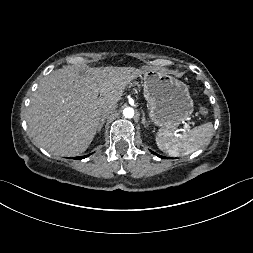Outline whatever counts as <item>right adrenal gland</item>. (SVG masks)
I'll return each mask as SVG.
<instances>
[{
    "label": "right adrenal gland",
    "instance_id": "1",
    "mask_svg": "<svg viewBox=\"0 0 253 253\" xmlns=\"http://www.w3.org/2000/svg\"><path fill=\"white\" fill-rule=\"evenodd\" d=\"M108 116L102 117L101 121H100V125L98 127V132H100L101 128L103 127L105 120L107 119Z\"/></svg>",
    "mask_w": 253,
    "mask_h": 253
}]
</instances>
